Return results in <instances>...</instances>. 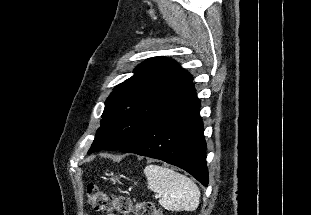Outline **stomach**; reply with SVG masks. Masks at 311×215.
I'll return each instance as SVG.
<instances>
[{"label":"stomach","mask_w":311,"mask_h":215,"mask_svg":"<svg viewBox=\"0 0 311 215\" xmlns=\"http://www.w3.org/2000/svg\"><path fill=\"white\" fill-rule=\"evenodd\" d=\"M110 176H111L110 180L115 183L117 181V179H118V176H114L113 173H111Z\"/></svg>","instance_id":"obj_1"}]
</instances>
